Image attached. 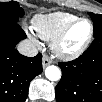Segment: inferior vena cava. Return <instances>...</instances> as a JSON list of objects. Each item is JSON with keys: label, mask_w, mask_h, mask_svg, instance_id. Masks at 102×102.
<instances>
[{"label": "inferior vena cava", "mask_w": 102, "mask_h": 102, "mask_svg": "<svg viewBox=\"0 0 102 102\" xmlns=\"http://www.w3.org/2000/svg\"><path fill=\"white\" fill-rule=\"evenodd\" d=\"M17 50L20 54L27 56V57H34L38 54V49L34 45V43L30 40H23L21 41L18 46Z\"/></svg>", "instance_id": "inferior-vena-cava-1"}]
</instances>
